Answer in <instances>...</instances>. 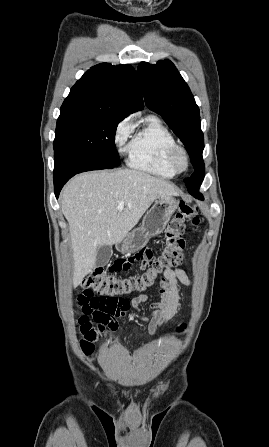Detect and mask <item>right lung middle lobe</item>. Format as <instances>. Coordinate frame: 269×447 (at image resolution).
<instances>
[{"label":"right lung middle lobe","mask_w":269,"mask_h":447,"mask_svg":"<svg viewBox=\"0 0 269 447\" xmlns=\"http://www.w3.org/2000/svg\"><path fill=\"white\" fill-rule=\"evenodd\" d=\"M120 121L105 116H59L54 140L55 155L66 154L119 166L114 137Z\"/></svg>","instance_id":"dd1d6c3e"}]
</instances>
